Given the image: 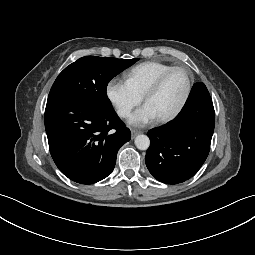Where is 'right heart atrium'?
I'll return each mask as SVG.
<instances>
[{
    "label": "right heart atrium",
    "mask_w": 255,
    "mask_h": 255,
    "mask_svg": "<svg viewBox=\"0 0 255 255\" xmlns=\"http://www.w3.org/2000/svg\"><path fill=\"white\" fill-rule=\"evenodd\" d=\"M106 96L121 118H127L143 100V96L127 81L118 78L109 80L106 85Z\"/></svg>",
    "instance_id": "obj_1"
}]
</instances>
